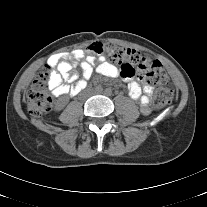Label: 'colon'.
<instances>
[{"mask_svg":"<svg viewBox=\"0 0 207 207\" xmlns=\"http://www.w3.org/2000/svg\"><path fill=\"white\" fill-rule=\"evenodd\" d=\"M90 49L119 64L123 77L133 78L138 73V77L144 80L147 86L157 87L154 94L156 108H166L170 105L173 92L170 88L169 77L161 62L136 50L112 43L92 42ZM26 104L29 113L36 117L51 109L52 97L47 72H41L33 81L26 95Z\"/></svg>","mask_w":207,"mask_h":207,"instance_id":"colon-1","label":"colon"}]
</instances>
